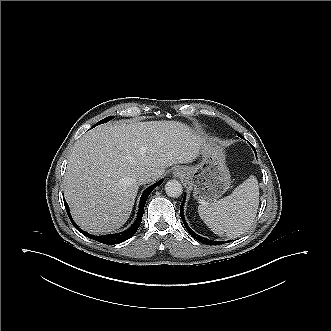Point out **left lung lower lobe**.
Listing matches in <instances>:
<instances>
[{
	"label": "left lung lower lobe",
	"instance_id": "0a47b994",
	"mask_svg": "<svg viewBox=\"0 0 331 331\" xmlns=\"http://www.w3.org/2000/svg\"><path fill=\"white\" fill-rule=\"evenodd\" d=\"M240 137H242V135L239 134ZM243 138V137H242ZM184 201H185V197L183 199V202L181 204V207H180V215H181V218H182V221L187 229V231L189 232V234L196 240H198L199 242L201 243H204V244H207V245H218V244H222L224 242H217V241H212V240H208L204 237H201L199 235H197L196 233H194L190 227L188 226L186 220H185V217H184V214H183V205H184ZM226 243V242H225Z\"/></svg>",
	"mask_w": 331,
	"mask_h": 331
}]
</instances>
